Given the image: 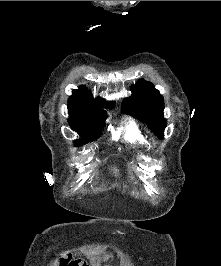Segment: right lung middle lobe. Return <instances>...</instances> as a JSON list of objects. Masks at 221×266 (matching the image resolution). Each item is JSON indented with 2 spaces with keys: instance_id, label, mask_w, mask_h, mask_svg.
I'll use <instances>...</instances> for the list:
<instances>
[{
  "instance_id": "1",
  "label": "right lung middle lobe",
  "mask_w": 221,
  "mask_h": 266,
  "mask_svg": "<svg viewBox=\"0 0 221 266\" xmlns=\"http://www.w3.org/2000/svg\"><path fill=\"white\" fill-rule=\"evenodd\" d=\"M69 115V124L71 128L83 137V141H75L76 146H81L88 141L97 139L100 136L103 127L105 126L104 119L107 117L103 116L89 118L73 115L71 113H69Z\"/></svg>"
}]
</instances>
